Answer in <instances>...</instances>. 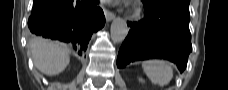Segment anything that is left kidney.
Segmentation results:
<instances>
[{"instance_id":"1","label":"left kidney","mask_w":228,"mask_h":90,"mask_svg":"<svg viewBox=\"0 0 228 90\" xmlns=\"http://www.w3.org/2000/svg\"><path fill=\"white\" fill-rule=\"evenodd\" d=\"M139 81L143 82V80L141 78H139Z\"/></svg>"}]
</instances>
